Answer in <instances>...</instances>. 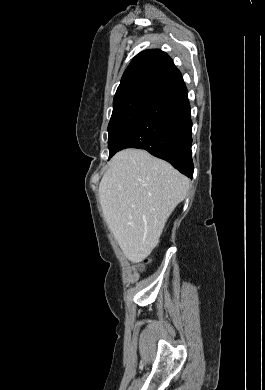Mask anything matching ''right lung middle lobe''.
<instances>
[{
	"mask_svg": "<svg viewBox=\"0 0 265 390\" xmlns=\"http://www.w3.org/2000/svg\"><path fill=\"white\" fill-rule=\"evenodd\" d=\"M153 98L136 96L113 103V112L108 125L109 159L115 154L116 144L125 129L152 102Z\"/></svg>",
	"mask_w": 265,
	"mask_h": 390,
	"instance_id": "right-lung-middle-lobe-1",
	"label": "right lung middle lobe"
}]
</instances>
